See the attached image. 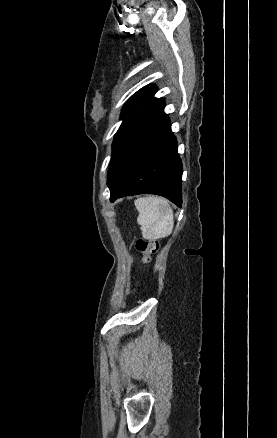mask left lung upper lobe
<instances>
[{"mask_svg": "<svg viewBox=\"0 0 277 438\" xmlns=\"http://www.w3.org/2000/svg\"><path fill=\"white\" fill-rule=\"evenodd\" d=\"M156 88L154 85H148L141 88L135 94H133L125 103L121 118L123 122L115 134L112 144V159L110 168L108 171L107 185L110 188L116 181L118 174L123 166V162L127 155L128 149L131 144L133 127L146 100L154 95Z\"/></svg>", "mask_w": 277, "mask_h": 438, "instance_id": "5c2ea615", "label": "left lung upper lobe"}]
</instances>
